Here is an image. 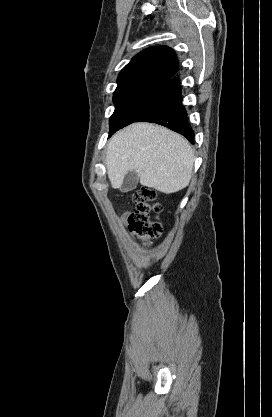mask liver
<instances>
[{"instance_id": "obj_1", "label": "liver", "mask_w": 272, "mask_h": 417, "mask_svg": "<svg viewBox=\"0 0 272 417\" xmlns=\"http://www.w3.org/2000/svg\"><path fill=\"white\" fill-rule=\"evenodd\" d=\"M194 160L190 143L181 135L134 123L110 139L105 164L113 188H121L125 175L134 171L141 185L172 194L188 186Z\"/></svg>"}]
</instances>
